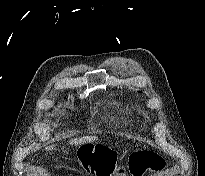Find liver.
<instances>
[{"mask_svg":"<svg viewBox=\"0 0 205 176\" xmlns=\"http://www.w3.org/2000/svg\"><path fill=\"white\" fill-rule=\"evenodd\" d=\"M98 138L96 136H86L82 138H75L69 141L71 145H79V144H84V143H89V142H94ZM52 147L47 148L48 150L51 149Z\"/></svg>","mask_w":205,"mask_h":176,"instance_id":"1","label":"liver"}]
</instances>
